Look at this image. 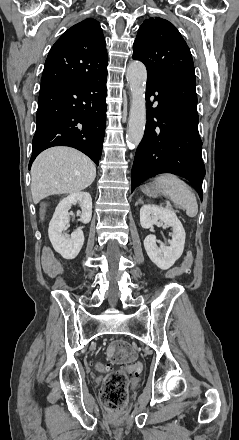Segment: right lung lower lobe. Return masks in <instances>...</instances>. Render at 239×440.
Segmentation results:
<instances>
[{
  "label": "right lung lower lobe",
  "mask_w": 239,
  "mask_h": 440,
  "mask_svg": "<svg viewBox=\"0 0 239 440\" xmlns=\"http://www.w3.org/2000/svg\"><path fill=\"white\" fill-rule=\"evenodd\" d=\"M107 72L87 80L41 85L29 167L53 146L74 147L97 165L106 125Z\"/></svg>",
  "instance_id": "right-lung-lower-lobe-1"
}]
</instances>
